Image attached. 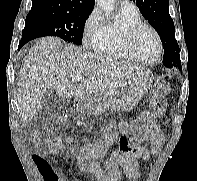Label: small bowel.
<instances>
[{"label": "small bowel", "instance_id": "obj_1", "mask_svg": "<svg viewBox=\"0 0 197 181\" xmlns=\"http://www.w3.org/2000/svg\"><path fill=\"white\" fill-rule=\"evenodd\" d=\"M123 139H125L131 150H115L106 159L104 166L98 161L106 152L107 143L98 145H86L79 149L68 146L61 141L47 140L46 149L39 148L33 155V160L44 181H68V179L56 168H54L49 156L58 157L61 153H69L76 157L78 167L81 171L92 175L97 181H121L122 172L130 179L137 180L140 177L138 161L148 160L158 153L164 142V134L158 124L150 131L149 140L151 148L147 149L137 144L131 138L126 124L119 127Z\"/></svg>", "mask_w": 197, "mask_h": 181}]
</instances>
